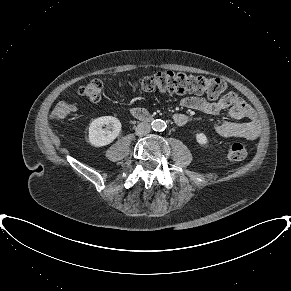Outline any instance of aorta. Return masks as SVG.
<instances>
[{
	"label": "aorta",
	"instance_id": "obj_1",
	"mask_svg": "<svg viewBox=\"0 0 291 291\" xmlns=\"http://www.w3.org/2000/svg\"><path fill=\"white\" fill-rule=\"evenodd\" d=\"M151 127L155 131H163L166 128V123L161 119H156L152 121Z\"/></svg>",
	"mask_w": 291,
	"mask_h": 291
}]
</instances>
